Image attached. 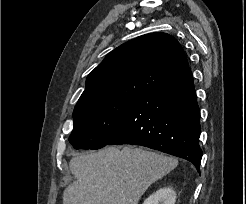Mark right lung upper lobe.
Returning <instances> with one entry per match:
<instances>
[{"instance_id": "obj_1", "label": "right lung upper lobe", "mask_w": 246, "mask_h": 204, "mask_svg": "<svg viewBox=\"0 0 246 204\" xmlns=\"http://www.w3.org/2000/svg\"><path fill=\"white\" fill-rule=\"evenodd\" d=\"M183 48L171 35L149 33L111 51L92 70L78 103L124 95H141L188 69Z\"/></svg>"}]
</instances>
